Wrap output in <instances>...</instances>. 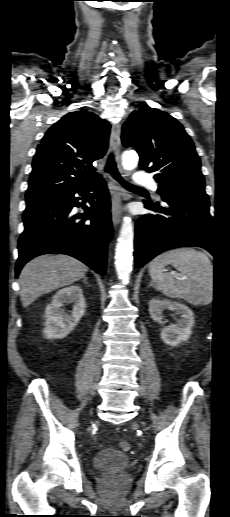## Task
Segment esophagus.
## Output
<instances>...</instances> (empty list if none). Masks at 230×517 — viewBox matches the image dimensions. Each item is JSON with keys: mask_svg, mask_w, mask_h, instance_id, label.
Here are the masks:
<instances>
[{"mask_svg": "<svg viewBox=\"0 0 230 517\" xmlns=\"http://www.w3.org/2000/svg\"><path fill=\"white\" fill-rule=\"evenodd\" d=\"M111 149L117 161L120 159V125L114 124L111 130L110 136ZM109 183L112 190V202H111V214L112 221L117 226L121 221L122 214V200L124 197V191L120 185L109 176Z\"/></svg>", "mask_w": 230, "mask_h": 517, "instance_id": "1", "label": "esophagus"}]
</instances>
